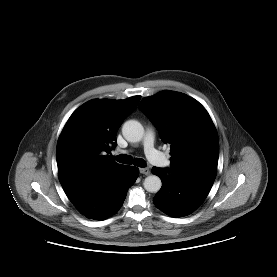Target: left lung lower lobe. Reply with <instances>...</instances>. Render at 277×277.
Returning a JSON list of instances; mask_svg holds the SVG:
<instances>
[{
    "mask_svg": "<svg viewBox=\"0 0 277 277\" xmlns=\"http://www.w3.org/2000/svg\"><path fill=\"white\" fill-rule=\"evenodd\" d=\"M162 180V187L153 198L155 206L164 213L182 217L196 210L207 197L215 178L182 175L166 168H152Z\"/></svg>",
    "mask_w": 277,
    "mask_h": 277,
    "instance_id": "left-lung-lower-lobe-1",
    "label": "left lung lower lobe"
}]
</instances>
